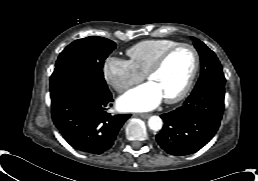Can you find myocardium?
Returning a JSON list of instances; mask_svg holds the SVG:
<instances>
[{
    "label": "myocardium",
    "instance_id": "1",
    "mask_svg": "<svg viewBox=\"0 0 258 181\" xmlns=\"http://www.w3.org/2000/svg\"><path fill=\"white\" fill-rule=\"evenodd\" d=\"M181 48H189L192 51V53L194 55V65H193L191 75H190L186 85L184 86V88L180 91V93H178L174 97L164 98V101L168 104H175V103L180 102L189 94L190 90L192 89V86L195 82V79L197 77L199 67H200V56H199L197 49L190 43H178V44L168 48L167 50H165L157 58V60L153 63V65L150 67V69L146 73V79L149 80L153 75H155L162 69V67L164 66L167 59L174 52H176L177 50H179Z\"/></svg>",
    "mask_w": 258,
    "mask_h": 181
}]
</instances>
